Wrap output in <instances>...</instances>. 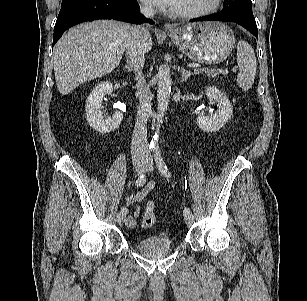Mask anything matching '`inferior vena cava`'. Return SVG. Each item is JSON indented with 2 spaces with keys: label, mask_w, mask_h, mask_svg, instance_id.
<instances>
[{
  "label": "inferior vena cava",
  "mask_w": 307,
  "mask_h": 301,
  "mask_svg": "<svg viewBox=\"0 0 307 301\" xmlns=\"http://www.w3.org/2000/svg\"><path fill=\"white\" fill-rule=\"evenodd\" d=\"M142 13L147 17L154 16V10L151 4H144L141 7ZM149 32L145 28H138L135 32V38L126 46L127 62L130 67L137 73L136 80L137 94L139 96V105L137 108V119L133 131L131 153L133 156L143 155L148 149L147 145V120L150 117L152 95L149 87L145 84L142 76L144 66L145 43L144 39L148 37Z\"/></svg>",
  "instance_id": "inferior-vena-cava-1"
}]
</instances>
